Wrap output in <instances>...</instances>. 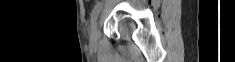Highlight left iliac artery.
<instances>
[{
    "label": "left iliac artery",
    "instance_id": "obj_1",
    "mask_svg": "<svg viewBox=\"0 0 235 62\" xmlns=\"http://www.w3.org/2000/svg\"><path fill=\"white\" fill-rule=\"evenodd\" d=\"M102 5L100 3L96 4L91 13V25L96 21Z\"/></svg>",
    "mask_w": 235,
    "mask_h": 62
}]
</instances>
